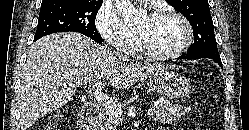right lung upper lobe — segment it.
I'll use <instances>...</instances> for the list:
<instances>
[{
	"instance_id": "1",
	"label": "right lung upper lobe",
	"mask_w": 249,
	"mask_h": 130,
	"mask_svg": "<svg viewBox=\"0 0 249 130\" xmlns=\"http://www.w3.org/2000/svg\"><path fill=\"white\" fill-rule=\"evenodd\" d=\"M57 1H61V0H43L41 5H46V4L54 3ZM88 1H90V0H88ZM93 1H96V0H93ZM97 2H103V0H97Z\"/></svg>"
}]
</instances>
